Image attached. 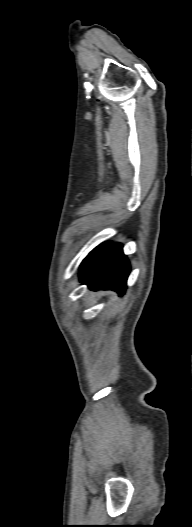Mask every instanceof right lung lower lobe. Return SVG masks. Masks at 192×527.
<instances>
[{
  "mask_svg": "<svg viewBox=\"0 0 192 527\" xmlns=\"http://www.w3.org/2000/svg\"><path fill=\"white\" fill-rule=\"evenodd\" d=\"M129 271L121 244H101L83 260L80 281L92 290L111 289L123 295Z\"/></svg>",
  "mask_w": 192,
  "mask_h": 527,
  "instance_id": "1",
  "label": "right lung lower lobe"
}]
</instances>
